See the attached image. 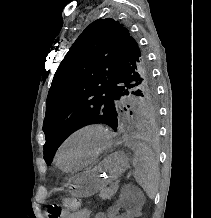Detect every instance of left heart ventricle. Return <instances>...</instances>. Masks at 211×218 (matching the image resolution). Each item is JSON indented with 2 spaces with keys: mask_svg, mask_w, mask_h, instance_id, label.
<instances>
[{
  "mask_svg": "<svg viewBox=\"0 0 211 218\" xmlns=\"http://www.w3.org/2000/svg\"><path fill=\"white\" fill-rule=\"evenodd\" d=\"M102 144L95 133H83L72 139L63 149L62 165L81 164L92 157Z\"/></svg>",
  "mask_w": 211,
  "mask_h": 218,
  "instance_id": "obj_1",
  "label": "left heart ventricle"
}]
</instances>
